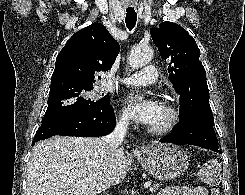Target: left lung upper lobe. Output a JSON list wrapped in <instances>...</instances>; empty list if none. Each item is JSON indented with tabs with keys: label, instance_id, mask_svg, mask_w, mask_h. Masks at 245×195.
<instances>
[{
	"label": "left lung upper lobe",
	"instance_id": "5c2ea615",
	"mask_svg": "<svg viewBox=\"0 0 245 195\" xmlns=\"http://www.w3.org/2000/svg\"><path fill=\"white\" fill-rule=\"evenodd\" d=\"M150 33L161 57L168 61L169 79L180 95L181 120L200 118L214 122L206 72L199 60L200 50L194 38L172 22H163Z\"/></svg>",
	"mask_w": 245,
	"mask_h": 195
}]
</instances>
